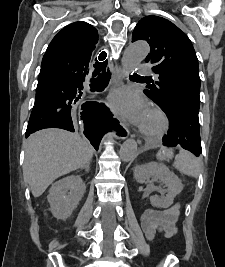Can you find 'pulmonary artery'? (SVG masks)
Wrapping results in <instances>:
<instances>
[{
  "instance_id": "1",
  "label": "pulmonary artery",
  "mask_w": 225,
  "mask_h": 267,
  "mask_svg": "<svg viewBox=\"0 0 225 267\" xmlns=\"http://www.w3.org/2000/svg\"><path fill=\"white\" fill-rule=\"evenodd\" d=\"M139 73L141 75H147V76L152 75V71L148 65H141L139 69Z\"/></svg>"
}]
</instances>
